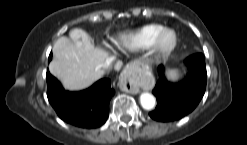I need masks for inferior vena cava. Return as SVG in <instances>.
I'll use <instances>...</instances> for the list:
<instances>
[{"instance_id": "obj_1", "label": "inferior vena cava", "mask_w": 247, "mask_h": 145, "mask_svg": "<svg viewBox=\"0 0 247 145\" xmlns=\"http://www.w3.org/2000/svg\"><path fill=\"white\" fill-rule=\"evenodd\" d=\"M111 64H112V60H111V59H107V60L101 65V72H102V74H103V73H106V72L109 70Z\"/></svg>"}]
</instances>
